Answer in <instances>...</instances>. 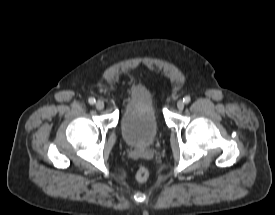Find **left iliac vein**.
Here are the masks:
<instances>
[{"label": "left iliac vein", "instance_id": "1", "mask_svg": "<svg viewBox=\"0 0 275 215\" xmlns=\"http://www.w3.org/2000/svg\"><path fill=\"white\" fill-rule=\"evenodd\" d=\"M184 106H185V104H184V102L182 100H180V101L177 102V108L179 110H183Z\"/></svg>", "mask_w": 275, "mask_h": 215}]
</instances>
